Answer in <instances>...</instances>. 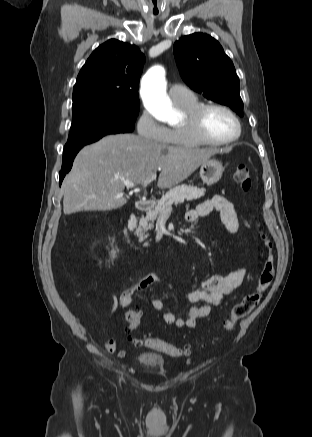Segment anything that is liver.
<instances>
[{"label": "liver", "mask_w": 312, "mask_h": 437, "mask_svg": "<svg viewBox=\"0 0 312 437\" xmlns=\"http://www.w3.org/2000/svg\"><path fill=\"white\" fill-rule=\"evenodd\" d=\"M216 149L175 147L133 134L109 135L85 146L62 183L63 211H107L122 207L124 180L144 182L160 170L157 186L171 188L189 177Z\"/></svg>", "instance_id": "obj_1"}]
</instances>
